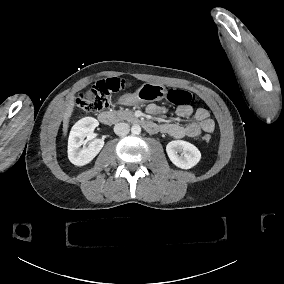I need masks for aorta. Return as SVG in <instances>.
Returning a JSON list of instances; mask_svg holds the SVG:
<instances>
[{"label": "aorta", "mask_w": 284, "mask_h": 284, "mask_svg": "<svg viewBox=\"0 0 284 284\" xmlns=\"http://www.w3.org/2000/svg\"><path fill=\"white\" fill-rule=\"evenodd\" d=\"M131 133L133 135H139L141 133V127L138 124H135L131 127Z\"/></svg>", "instance_id": "762f6f07"}]
</instances>
